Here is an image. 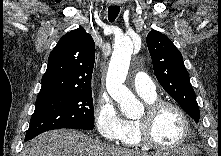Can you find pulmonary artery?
Here are the masks:
<instances>
[{
    "label": "pulmonary artery",
    "mask_w": 221,
    "mask_h": 156,
    "mask_svg": "<svg viewBox=\"0 0 221 156\" xmlns=\"http://www.w3.org/2000/svg\"><path fill=\"white\" fill-rule=\"evenodd\" d=\"M134 88L142 97H155L156 87L151 78L144 72H138L134 77Z\"/></svg>",
    "instance_id": "obj_1"
}]
</instances>
